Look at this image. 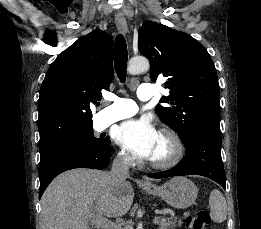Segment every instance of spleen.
Returning a JSON list of instances; mask_svg holds the SVG:
<instances>
[{
  "label": "spleen",
  "instance_id": "3e777b00",
  "mask_svg": "<svg viewBox=\"0 0 261 229\" xmlns=\"http://www.w3.org/2000/svg\"><path fill=\"white\" fill-rule=\"evenodd\" d=\"M210 209V217L212 221L215 223H223L226 221L227 217V203L224 195L218 191V189H214L210 195L209 199Z\"/></svg>",
  "mask_w": 261,
  "mask_h": 229
}]
</instances>
